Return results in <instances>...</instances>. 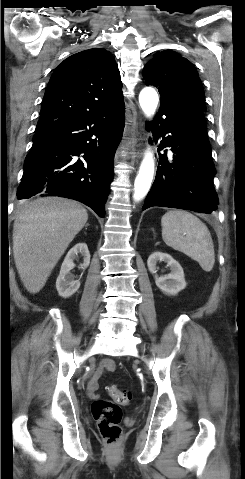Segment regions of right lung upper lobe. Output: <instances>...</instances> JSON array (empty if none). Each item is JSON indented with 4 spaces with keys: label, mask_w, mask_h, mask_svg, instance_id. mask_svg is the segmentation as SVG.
<instances>
[{
    "label": "right lung upper lobe",
    "mask_w": 245,
    "mask_h": 479,
    "mask_svg": "<svg viewBox=\"0 0 245 479\" xmlns=\"http://www.w3.org/2000/svg\"><path fill=\"white\" fill-rule=\"evenodd\" d=\"M114 57L93 48L65 59L54 71L42 101L36 130L63 118L124 106Z\"/></svg>",
    "instance_id": "right-lung-upper-lobe-1"
}]
</instances>
